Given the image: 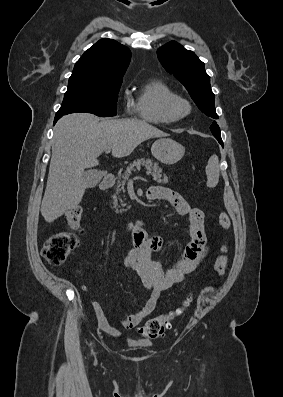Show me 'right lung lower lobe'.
<instances>
[{"label": "right lung lower lobe", "instance_id": "obj_1", "mask_svg": "<svg viewBox=\"0 0 283 397\" xmlns=\"http://www.w3.org/2000/svg\"><path fill=\"white\" fill-rule=\"evenodd\" d=\"M63 115H56L54 119V124L57 122L58 119H60Z\"/></svg>", "mask_w": 283, "mask_h": 397}]
</instances>
